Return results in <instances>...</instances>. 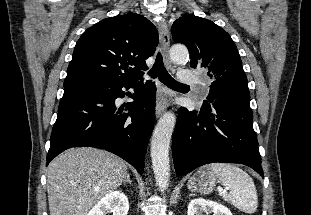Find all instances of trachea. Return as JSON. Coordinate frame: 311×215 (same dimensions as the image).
Returning <instances> with one entry per match:
<instances>
[{
    "label": "trachea",
    "mask_w": 311,
    "mask_h": 215,
    "mask_svg": "<svg viewBox=\"0 0 311 215\" xmlns=\"http://www.w3.org/2000/svg\"><path fill=\"white\" fill-rule=\"evenodd\" d=\"M149 76L152 78L158 77L162 83L170 88L188 87V85L182 84L171 77V75L164 67L163 57L160 52L157 54L155 63L152 69L149 71Z\"/></svg>",
    "instance_id": "obj_1"
}]
</instances>
